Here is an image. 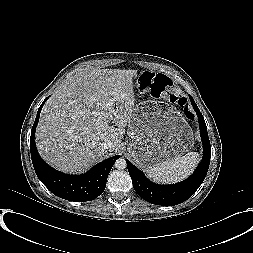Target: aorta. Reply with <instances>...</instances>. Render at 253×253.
<instances>
[{
    "label": "aorta",
    "mask_w": 253,
    "mask_h": 253,
    "mask_svg": "<svg viewBox=\"0 0 253 253\" xmlns=\"http://www.w3.org/2000/svg\"><path fill=\"white\" fill-rule=\"evenodd\" d=\"M114 166L118 170H123L127 166V162L124 158H119L115 161Z\"/></svg>",
    "instance_id": "762f6f07"
}]
</instances>
